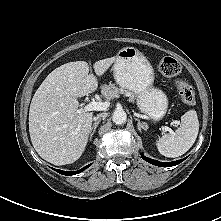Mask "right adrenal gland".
<instances>
[{"label":"right adrenal gland","instance_id":"obj_1","mask_svg":"<svg viewBox=\"0 0 221 221\" xmlns=\"http://www.w3.org/2000/svg\"><path fill=\"white\" fill-rule=\"evenodd\" d=\"M99 122H100V121H97V122H95V123L92 125L91 131H90V140L92 139V137H93V135H94V133H95V131H96V128H97Z\"/></svg>","mask_w":221,"mask_h":221}]
</instances>
